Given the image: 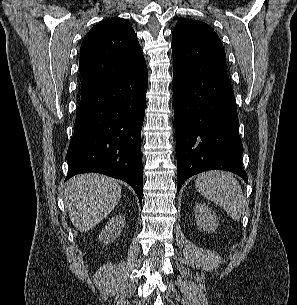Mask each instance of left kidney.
<instances>
[{
  "label": "left kidney",
  "instance_id": "left-kidney-1",
  "mask_svg": "<svg viewBox=\"0 0 297 305\" xmlns=\"http://www.w3.org/2000/svg\"><path fill=\"white\" fill-rule=\"evenodd\" d=\"M195 215L199 230L212 232L218 227V218L215 212L205 203H196Z\"/></svg>",
  "mask_w": 297,
  "mask_h": 305
}]
</instances>
